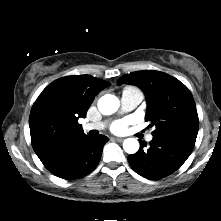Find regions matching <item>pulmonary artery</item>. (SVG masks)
<instances>
[{
  "label": "pulmonary artery",
  "instance_id": "e3ab8cb5",
  "mask_svg": "<svg viewBox=\"0 0 221 221\" xmlns=\"http://www.w3.org/2000/svg\"><path fill=\"white\" fill-rule=\"evenodd\" d=\"M143 100V94L140 90L135 88H126L123 90L120 103L121 112H129L135 109ZM106 127V122L86 123L83 125L84 131L102 130ZM147 141H151L153 136L149 134L146 137Z\"/></svg>",
  "mask_w": 221,
  "mask_h": 221
}]
</instances>
